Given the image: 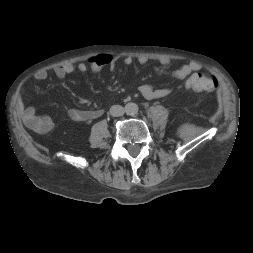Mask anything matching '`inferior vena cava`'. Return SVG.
Returning a JSON list of instances; mask_svg holds the SVG:
<instances>
[{
    "mask_svg": "<svg viewBox=\"0 0 253 253\" xmlns=\"http://www.w3.org/2000/svg\"><path fill=\"white\" fill-rule=\"evenodd\" d=\"M125 113V108L120 105H113L110 108V114L114 117L122 116Z\"/></svg>",
    "mask_w": 253,
    "mask_h": 253,
    "instance_id": "1",
    "label": "inferior vena cava"
}]
</instances>
